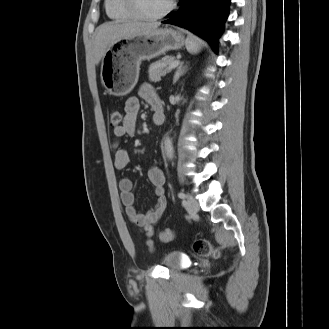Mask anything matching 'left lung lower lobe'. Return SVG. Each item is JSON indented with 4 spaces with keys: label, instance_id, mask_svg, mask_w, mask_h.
Instances as JSON below:
<instances>
[{
    "label": "left lung lower lobe",
    "instance_id": "1",
    "mask_svg": "<svg viewBox=\"0 0 329 329\" xmlns=\"http://www.w3.org/2000/svg\"><path fill=\"white\" fill-rule=\"evenodd\" d=\"M179 10L162 23L190 30L217 52L218 37L228 17L230 0H180Z\"/></svg>",
    "mask_w": 329,
    "mask_h": 329
}]
</instances>
